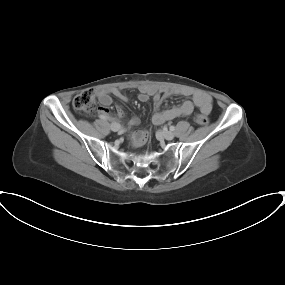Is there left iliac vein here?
I'll use <instances>...</instances> for the list:
<instances>
[{
    "label": "left iliac vein",
    "mask_w": 285,
    "mask_h": 285,
    "mask_svg": "<svg viewBox=\"0 0 285 285\" xmlns=\"http://www.w3.org/2000/svg\"><path fill=\"white\" fill-rule=\"evenodd\" d=\"M162 136L166 139V140H172L174 138V133L168 130H164L161 132Z\"/></svg>",
    "instance_id": "1"
}]
</instances>
